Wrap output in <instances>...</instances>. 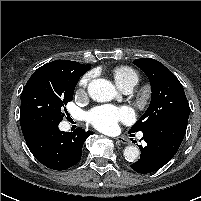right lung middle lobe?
<instances>
[{
  "instance_id": "obj_1",
  "label": "right lung middle lobe",
  "mask_w": 201,
  "mask_h": 201,
  "mask_svg": "<svg viewBox=\"0 0 201 201\" xmlns=\"http://www.w3.org/2000/svg\"><path fill=\"white\" fill-rule=\"evenodd\" d=\"M90 65L47 63L38 68L21 94L20 125L22 132L43 124H59L64 106L73 99L79 78Z\"/></svg>"
}]
</instances>
